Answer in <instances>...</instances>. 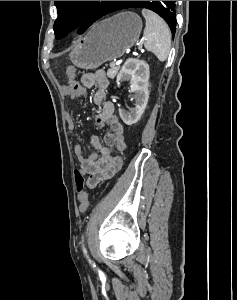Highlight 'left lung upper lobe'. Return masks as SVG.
I'll use <instances>...</instances> for the list:
<instances>
[{
	"label": "left lung upper lobe",
	"mask_w": 237,
	"mask_h": 300,
	"mask_svg": "<svg viewBox=\"0 0 237 300\" xmlns=\"http://www.w3.org/2000/svg\"><path fill=\"white\" fill-rule=\"evenodd\" d=\"M113 1H55L58 10V18L54 23L56 39L66 36L73 26L81 24L79 33H83L96 20L107 14V9ZM119 9L146 8L161 16L168 24L173 35L176 31L175 1H122Z\"/></svg>",
	"instance_id": "obj_1"
}]
</instances>
